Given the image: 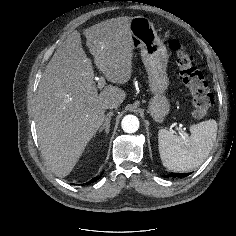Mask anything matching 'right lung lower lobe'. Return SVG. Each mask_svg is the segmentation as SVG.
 Masks as SVG:
<instances>
[{
  "label": "right lung lower lobe",
  "mask_w": 236,
  "mask_h": 236,
  "mask_svg": "<svg viewBox=\"0 0 236 236\" xmlns=\"http://www.w3.org/2000/svg\"><path fill=\"white\" fill-rule=\"evenodd\" d=\"M100 177H101V175L98 176V177H95V178L91 179L90 182H89V184H90V183H93V182L96 181V180H98Z\"/></svg>",
  "instance_id": "1"
}]
</instances>
